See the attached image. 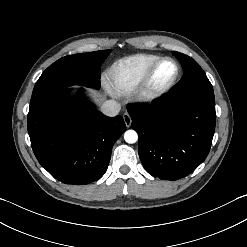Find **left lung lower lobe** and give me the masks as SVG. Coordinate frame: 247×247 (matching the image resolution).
Listing matches in <instances>:
<instances>
[{"label":"left lung lower lobe","mask_w":247,"mask_h":247,"mask_svg":"<svg viewBox=\"0 0 247 247\" xmlns=\"http://www.w3.org/2000/svg\"><path fill=\"white\" fill-rule=\"evenodd\" d=\"M128 112L139 135L140 160L153 177L184 178L206 159L215 132L214 93L169 94L151 107Z\"/></svg>","instance_id":"left-lung-lower-lobe-1"}]
</instances>
